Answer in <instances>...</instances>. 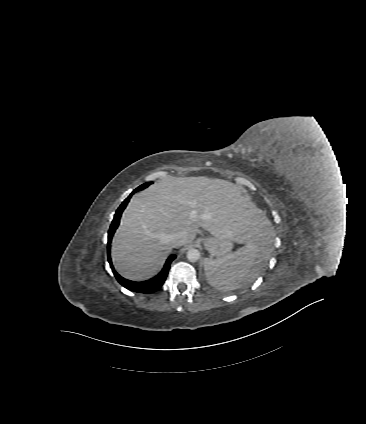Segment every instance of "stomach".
<instances>
[{
    "mask_svg": "<svg viewBox=\"0 0 366 424\" xmlns=\"http://www.w3.org/2000/svg\"><path fill=\"white\" fill-rule=\"evenodd\" d=\"M204 248L213 257H223L227 255L233 248V241L225 236H213L202 239Z\"/></svg>",
    "mask_w": 366,
    "mask_h": 424,
    "instance_id": "stomach-1",
    "label": "stomach"
}]
</instances>
